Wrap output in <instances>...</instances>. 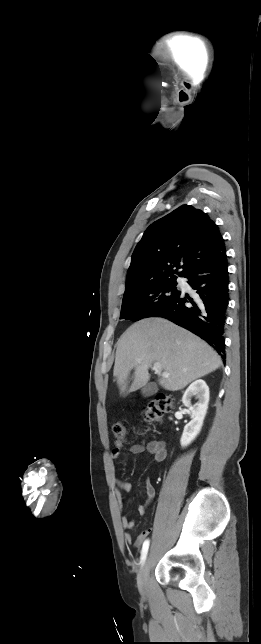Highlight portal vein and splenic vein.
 <instances>
[{"label":"portal vein and splenic vein","instance_id":"portal-vein-and-splenic-vein-1","mask_svg":"<svg viewBox=\"0 0 261 644\" xmlns=\"http://www.w3.org/2000/svg\"><path fill=\"white\" fill-rule=\"evenodd\" d=\"M138 362L140 363V361H138ZM153 370L155 371V373L160 374V373H161V371H162V369H161V364H160L159 362H155V363L153 364ZM162 377H164V378H168V377H169V374H168V373H166V372H163V373H162Z\"/></svg>","mask_w":261,"mask_h":644}]
</instances>
